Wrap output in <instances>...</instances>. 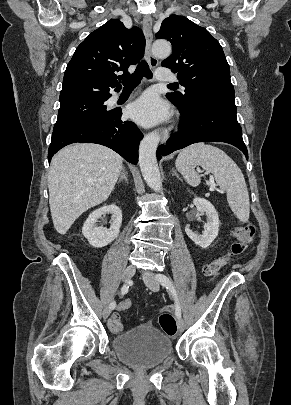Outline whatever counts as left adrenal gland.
I'll return each mask as SVG.
<instances>
[{
  "mask_svg": "<svg viewBox=\"0 0 291 405\" xmlns=\"http://www.w3.org/2000/svg\"><path fill=\"white\" fill-rule=\"evenodd\" d=\"M172 171H173V176H176L177 178H179V176L174 168L172 169Z\"/></svg>",
  "mask_w": 291,
  "mask_h": 405,
  "instance_id": "a2214340",
  "label": "left adrenal gland"
}]
</instances>
